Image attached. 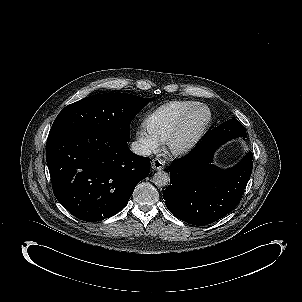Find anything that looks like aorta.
Here are the masks:
<instances>
[{
  "label": "aorta",
  "mask_w": 302,
  "mask_h": 302,
  "mask_svg": "<svg viewBox=\"0 0 302 302\" xmlns=\"http://www.w3.org/2000/svg\"><path fill=\"white\" fill-rule=\"evenodd\" d=\"M170 182V175L165 171H157L153 176V183L156 186H167Z\"/></svg>",
  "instance_id": "1"
}]
</instances>
